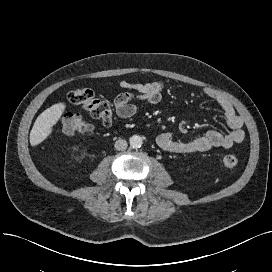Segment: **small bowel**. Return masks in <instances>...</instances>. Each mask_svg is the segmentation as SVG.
Here are the masks:
<instances>
[{"label": "small bowel", "mask_w": 272, "mask_h": 272, "mask_svg": "<svg viewBox=\"0 0 272 272\" xmlns=\"http://www.w3.org/2000/svg\"><path fill=\"white\" fill-rule=\"evenodd\" d=\"M119 86L133 90V92L119 94L114 100L116 114L120 118L127 119L133 117L138 112V101L151 105L158 104L162 100V92L166 86V81L157 79L147 83L133 84L123 80L120 81ZM204 94L219 105L230 131L222 133L210 130L190 141L177 140L169 132L161 133L157 137V143L163 150L175 154H185L207 151L216 147L229 149L244 140V120L237 114L233 105L214 89L207 88L204 90Z\"/></svg>", "instance_id": "small-bowel-1"}]
</instances>
